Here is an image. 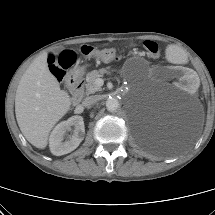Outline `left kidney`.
Segmentation results:
<instances>
[{"label":"left kidney","instance_id":"1","mask_svg":"<svg viewBox=\"0 0 215 215\" xmlns=\"http://www.w3.org/2000/svg\"><path fill=\"white\" fill-rule=\"evenodd\" d=\"M169 78L182 86L186 92L196 91L200 87V78L190 69L172 68Z\"/></svg>","mask_w":215,"mask_h":215}]
</instances>
